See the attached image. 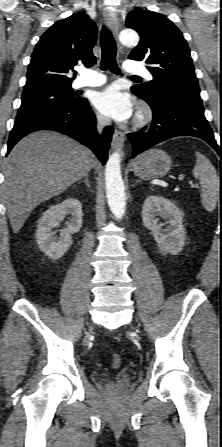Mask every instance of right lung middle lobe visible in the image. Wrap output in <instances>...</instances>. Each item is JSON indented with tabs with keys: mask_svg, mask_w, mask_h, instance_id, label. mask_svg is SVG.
<instances>
[{
	"mask_svg": "<svg viewBox=\"0 0 222 447\" xmlns=\"http://www.w3.org/2000/svg\"><path fill=\"white\" fill-rule=\"evenodd\" d=\"M71 86L53 87L23 92L17 118L44 113L48 110L77 103Z\"/></svg>",
	"mask_w": 222,
	"mask_h": 447,
	"instance_id": "obj_1",
	"label": "right lung middle lobe"
}]
</instances>
